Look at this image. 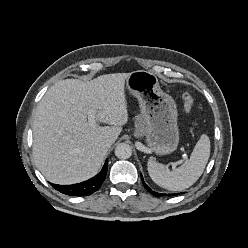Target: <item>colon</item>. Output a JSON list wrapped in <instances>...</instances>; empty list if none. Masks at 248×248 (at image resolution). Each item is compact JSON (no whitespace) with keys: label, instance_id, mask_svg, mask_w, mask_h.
Masks as SVG:
<instances>
[{"label":"colon","instance_id":"1","mask_svg":"<svg viewBox=\"0 0 248 248\" xmlns=\"http://www.w3.org/2000/svg\"><path fill=\"white\" fill-rule=\"evenodd\" d=\"M182 99L185 112L190 113L194 108V97L189 92H184L182 94Z\"/></svg>","mask_w":248,"mask_h":248}]
</instances>
